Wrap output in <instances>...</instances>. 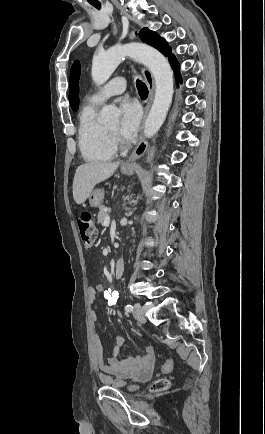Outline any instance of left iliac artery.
<instances>
[{
	"mask_svg": "<svg viewBox=\"0 0 265 434\" xmlns=\"http://www.w3.org/2000/svg\"><path fill=\"white\" fill-rule=\"evenodd\" d=\"M125 310H126L127 312L133 311V306L130 305V304H127V305L125 306Z\"/></svg>",
	"mask_w": 265,
	"mask_h": 434,
	"instance_id": "44dca946",
	"label": "left iliac artery"
}]
</instances>
